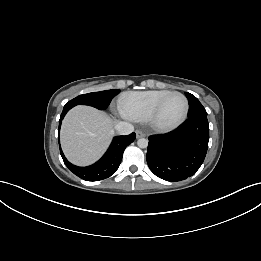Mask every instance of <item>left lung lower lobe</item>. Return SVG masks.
Segmentation results:
<instances>
[{
    "instance_id": "0a47b994",
    "label": "left lung lower lobe",
    "mask_w": 261,
    "mask_h": 261,
    "mask_svg": "<svg viewBox=\"0 0 261 261\" xmlns=\"http://www.w3.org/2000/svg\"><path fill=\"white\" fill-rule=\"evenodd\" d=\"M147 163L159 178L177 182L191 177L202 165L208 148L207 115L189 117L172 132L149 136Z\"/></svg>"
}]
</instances>
